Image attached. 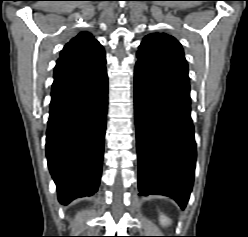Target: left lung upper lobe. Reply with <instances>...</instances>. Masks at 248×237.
<instances>
[{
  "instance_id": "5c2ea615",
  "label": "left lung upper lobe",
  "mask_w": 248,
  "mask_h": 237,
  "mask_svg": "<svg viewBox=\"0 0 248 237\" xmlns=\"http://www.w3.org/2000/svg\"><path fill=\"white\" fill-rule=\"evenodd\" d=\"M139 61L165 76L189 83L188 65L181 44L165 33L146 36L137 52Z\"/></svg>"
}]
</instances>
